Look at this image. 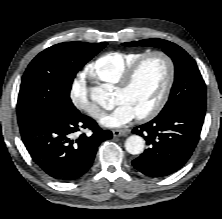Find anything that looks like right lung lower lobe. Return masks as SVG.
I'll use <instances>...</instances> for the list:
<instances>
[{
    "instance_id": "right-lung-lower-lobe-1",
    "label": "right lung lower lobe",
    "mask_w": 222,
    "mask_h": 219,
    "mask_svg": "<svg viewBox=\"0 0 222 219\" xmlns=\"http://www.w3.org/2000/svg\"><path fill=\"white\" fill-rule=\"evenodd\" d=\"M82 128L92 130L93 134L74 138ZM21 137L33 161L47 175L68 182L88 171L98 146L112 138V133L99 128L93 119L82 115L76 108L63 107L22 130Z\"/></svg>"
}]
</instances>
